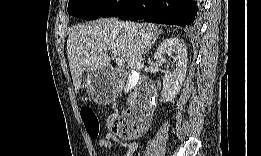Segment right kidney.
I'll return each mask as SVG.
<instances>
[{
    "label": "right kidney",
    "instance_id": "1",
    "mask_svg": "<svg viewBox=\"0 0 261 156\" xmlns=\"http://www.w3.org/2000/svg\"><path fill=\"white\" fill-rule=\"evenodd\" d=\"M175 69L163 78V89L161 99L163 102L173 101L179 93L187 71V49L184 42L178 37H171L163 40L157 48L154 59L157 63H164L166 55H172Z\"/></svg>",
    "mask_w": 261,
    "mask_h": 156
}]
</instances>
